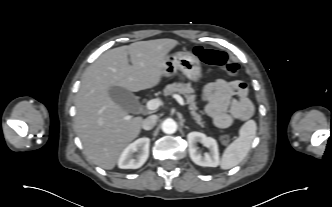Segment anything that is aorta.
I'll return each mask as SVG.
<instances>
[{"instance_id": "aorta-1", "label": "aorta", "mask_w": 332, "mask_h": 207, "mask_svg": "<svg viewBox=\"0 0 332 207\" xmlns=\"http://www.w3.org/2000/svg\"><path fill=\"white\" fill-rule=\"evenodd\" d=\"M177 130V123L171 119L168 118L166 120L163 121L162 123V131L166 134H173L175 133Z\"/></svg>"}]
</instances>
